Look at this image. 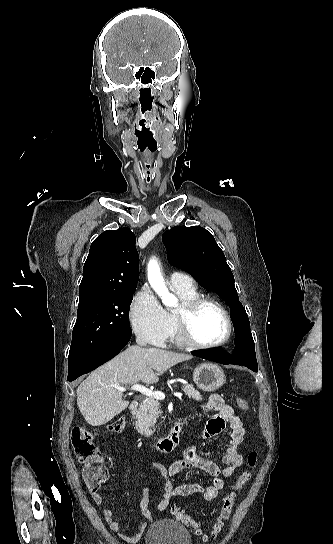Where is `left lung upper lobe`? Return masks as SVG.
<instances>
[{
    "label": "left lung upper lobe",
    "mask_w": 333,
    "mask_h": 544,
    "mask_svg": "<svg viewBox=\"0 0 333 544\" xmlns=\"http://www.w3.org/2000/svg\"><path fill=\"white\" fill-rule=\"evenodd\" d=\"M162 240L171 265L190 272L205 289L216 291L231 308L232 321L249 322L225 255L209 231L199 226L174 227Z\"/></svg>",
    "instance_id": "1"
}]
</instances>
